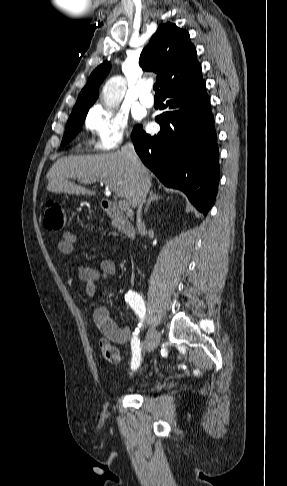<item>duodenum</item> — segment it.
<instances>
[{
  "mask_svg": "<svg viewBox=\"0 0 287 486\" xmlns=\"http://www.w3.org/2000/svg\"><path fill=\"white\" fill-rule=\"evenodd\" d=\"M102 209L112 219L117 220L122 227L123 234L129 240L134 239L135 229L129 220L110 202L103 200L101 202Z\"/></svg>",
  "mask_w": 287,
  "mask_h": 486,
  "instance_id": "410a0bca",
  "label": "duodenum"
}]
</instances>
